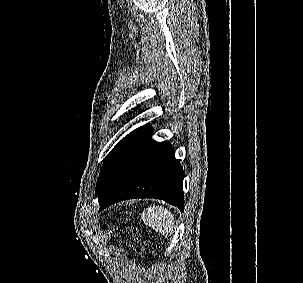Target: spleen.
<instances>
[{"instance_id": "obj_1", "label": "spleen", "mask_w": 303, "mask_h": 283, "mask_svg": "<svg viewBox=\"0 0 303 283\" xmlns=\"http://www.w3.org/2000/svg\"><path fill=\"white\" fill-rule=\"evenodd\" d=\"M141 218L146 225L163 235L168 236L174 229V216L163 206L147 208L143 211Z\"/></svg>"}]
</instances>
